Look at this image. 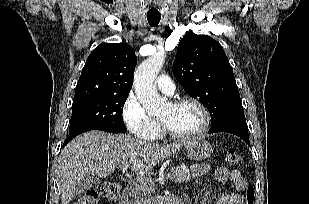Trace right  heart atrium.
Wrapping results in <instances>:
<instances>
[{"label":"right heart atrium","instance_id":"obj_1","mask_svg":"<svg viewBox=\"0 0 309 204\" xmlns=\"http://www.w3.org/2000/svg\"><path fill=\"white\" fill-rule=\"evenodd\" d=\"M122 115L128 130L135 136L154 140L160 133L158 120L150 116L134 94L126 98Z\"/></svg>","mask_w":309,"mask_h":204}]
</instances>
